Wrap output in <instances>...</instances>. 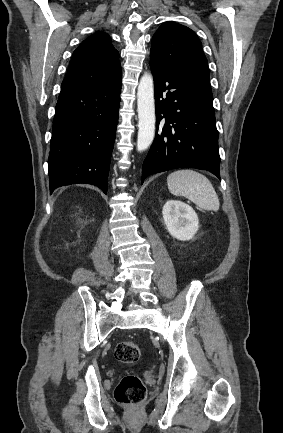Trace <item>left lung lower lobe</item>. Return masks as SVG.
Masks as SVG:
<instances>
[{"label":"left lung lower lobe","mask_w":283,"mask_h":433,"mask_svg":"<svg viewBox=\"0 0 283 433\" xmlns=\"http://www.w3.org/2000/svg\"><path fill=\"white\" fill-rule=\"evenodd\" d=\"M154 76L156 136L142 166V183L175 168L208 170L220 179L215 113L204 110L199 79L150 55Z\"/></svg>","instance_id":"0a47b994"}]
</instances>
